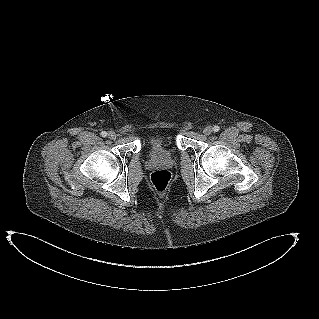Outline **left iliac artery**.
Returning <instances> with one entry per match:
<instances>
[{"mask_svg": "<svg viewBox=\"0 0 319 319\" xmlns=\"http://www.w3.org/2000/svg\"><path fill=\"white\" fill-rule=\"evenodd\" d=\"M213 130H214L215 132H218V131L220 130V127H219L218 125H215V126L213 127Z\"/></svg>", "mask_w": 319, "mask_h": 319, "instance_id": "1", "label": "left iliac artery"}]
</instances>
